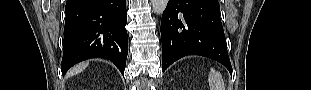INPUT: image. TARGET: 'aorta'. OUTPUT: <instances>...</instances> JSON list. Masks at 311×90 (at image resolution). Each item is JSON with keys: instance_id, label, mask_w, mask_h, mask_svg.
Returning <instances> with one entry per match:
<instances>
[{"instance_id": "obj_1", "label": "aorta", "mask_w": 311, "mask_h": 90, "mask_svg": "<svg viewBox=\"0 0 311 90\" xmlns=\"http://www.w3.org/2000/svg\"><path fill=\"white\" fill-rule=\"evenodd\" d=\"M153 11L160 15L162 14L168 4V0H151Z\"/></svg>"}]
</instances>
